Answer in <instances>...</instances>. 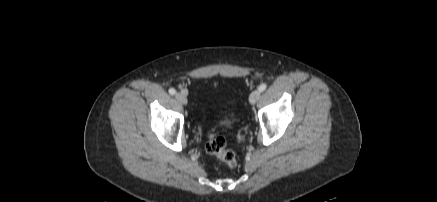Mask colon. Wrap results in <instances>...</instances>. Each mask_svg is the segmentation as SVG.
Returning a JSON list of instances; mask_svg holds the SVG:
<instances>
[{"instance_id": "colon-1", "label": "colon", "mask_w": 437, "mask_h": 202, "mask_svg": "<svg viewBox=\"0 0 437 202\" xmlns=\"http://www.w3.org/2000/svg\"><path fill=\"white\" fill-rule=\"evenodd\" d=\"M206 152L217 157L229 168H235L238 164L237 157L232 150L226 148V141L217 135L212 129L207 133Z\"/></svg>"}]
</instances>
